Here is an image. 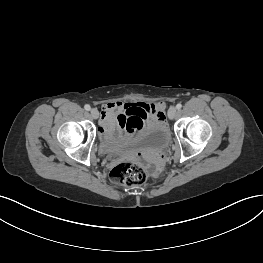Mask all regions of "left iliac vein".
<instances>
[{"label": "left iliac vein", "instance_id": "obj_1", "mask_svg": "<svg viewBox=\"0 0 263 263\" xmlns=\"http://www.w3.org/2000/svg\"><path fill=\"white\" fill-rule=\"evenodd\" d=\"M176 114H177V110H176L175 107L169 108V110H168V117H169V119H174Z\"/></svg>", "mask_w": 263, "mask_h": 263}]
</instances>
